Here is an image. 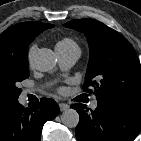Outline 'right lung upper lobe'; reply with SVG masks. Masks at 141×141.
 <instances>
[{"instance_id":"right-lung-upper-lobe-1","label":"right lung upper lobe","mask_w":141,"mask_h":141,"mask_svg":"<svg viewBox=\"0 0 141 141\" xmlns=\"http://www.w3.org/2000/svg\"><path fill=\"white\" fill-rule=\"evenodd\" d=\"M54 25L41 22H21L0 35V57L28 58V46L34 38Z\"/></svg>"}]
</instances>
